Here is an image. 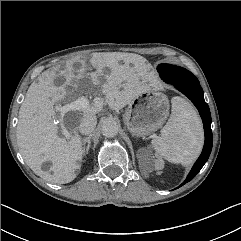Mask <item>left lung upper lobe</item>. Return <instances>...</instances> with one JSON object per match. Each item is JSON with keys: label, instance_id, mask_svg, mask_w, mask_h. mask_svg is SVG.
Instances as JSON below:
<instances>
[{"label": "left lung upper lobe", "instance_id": "left-lung-upper-lobe-1", "mask_svg": "<svg viewBox=\"0 0 241 241\" xmlns=\"http://www.w3.org/2000/svg\"><path fill=\"white\" fill-rule=\"evenodd\" d=\"M160 77L173 82H190L197 80V78L185 68L171 65L160 64L157 68Z\"/></svg>", "mask_w": 241, "mask_h": 241}]
</instances>
